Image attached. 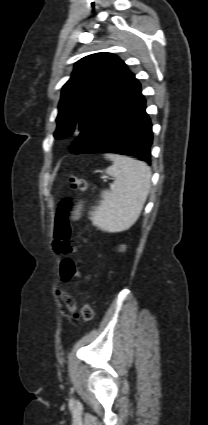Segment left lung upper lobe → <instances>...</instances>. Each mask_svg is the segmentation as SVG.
I'll use <instances>...</instances> for the list:
<instances>
[{
    "instance_id": "obj_1",
    "label": "left lung upper lobe",
    "mask_w": 208,
    "mask_h": 425,
    "mask_svg": "<svg viewBox=\"0 0 208 425\" xmlns=\"http://www.w3.org/2000/svg\"><path fill=\"white\" fill-rule=\"evenodd\" d=\"M134 79L125 63L111 53L92 54L76 62L62 88L54 137H68L78 125L82 131ZM70 148L80 153L75 141Z\"/></svg>"
}]
</instances>
